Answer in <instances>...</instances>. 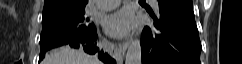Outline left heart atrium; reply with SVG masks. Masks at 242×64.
<instances>
[{"mask_svg": "<svg viewBox=\"0 0 242 64\" xmlns=\"http://www.w3.org/2000/svg\"><path fill=\"white\" fill-rule=\"evenodd\" d=\"M132 15L129 10L121 9L109 15L104 23L105 31L112 37H123L130 31Z\"/></svg>", "mask_w": 242, "mask_h": 64, "instance_id": "39dd6f15", "label": "left heart atrium"}]
</instances>
